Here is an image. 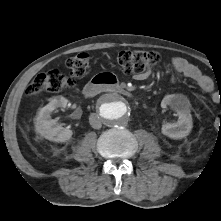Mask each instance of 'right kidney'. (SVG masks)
<instances>
[{
	"instance_id": "right-kidney-1",
	"label": "right kidney",
	"mask_w": 221,
	"mask_h": 221,
	"mask_svg": "<svg viewBox=\"0 0 221 221\" xmlns=\"http://www.w3.org/2000/svg\"><path fill=\"white\" fill-rule=\"evenodd\" d=\"M68 100L62 96H57L41 108L35 119V130L45 139L53 142H66L73 132L69 128H63L60 124L51 119V112L56 108H65Z\"/></svg>"
}]
</instances>
